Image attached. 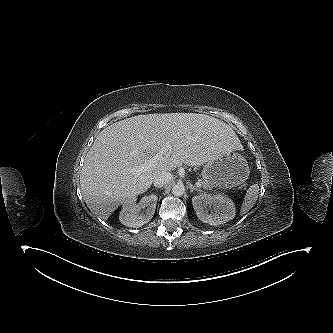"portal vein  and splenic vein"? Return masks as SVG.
Masks as SVG:
<instances>
[{
    "mask_svg": "<svg viewBox=\"0 0 333 333\" xmlns=\"http://www.w3.org/2000/svg\"><path fill=\"white\" fill-rule=\"evenodd\" d=\"M170 151H171V145H170L169 142H166L165 146L160 149V151L158 152V154L155 157L148 160L144 164H141L140 166L135 167L132 170V172L133 173H140L142 171H146V170L154 167L156 162ZM196 185L198 187H201V183H199V182H197Z\"/></svg>",
    "mask_w": 333,
    "mask_h": 333,
    "instance_id": "obj_1",
    "label": "portal vein and splenic vein"
}]
</instances>
